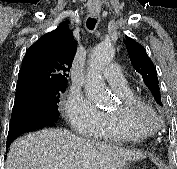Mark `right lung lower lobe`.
Returning a JSON list of instances; mask_svg holds the SVG:
<instances>
[{"instance_id": "1", "label": "right lung lower lobe", "mask_w": 177, "mask_h": 169, "mask_svg": "<svg viewBox=\"0 0 177 169\" xmlns=\"http://www.w3.org/2000/svg\"><path fill=\"white\" fill-rule=\"evenodd\" d=\"M56 121L51 117L43 115H25L19 117H11V123L9 127V133L7 137V148L14 139L23 133L36 130L42 127H54Z\"/></svg>"}]
</instances>
